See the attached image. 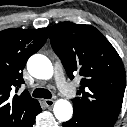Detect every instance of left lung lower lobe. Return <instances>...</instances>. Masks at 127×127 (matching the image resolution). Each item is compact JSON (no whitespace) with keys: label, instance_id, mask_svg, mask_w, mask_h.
Here are the masks:
<instances>
[{"label":"left lung lower lobe","instance_id":"0a47b994","mask_svg":"<svg viewBox=\"0 0 127 127\" xmlns=\"http://www.w3.org/2000/svg\"><path fill=\"white\" fill-rule=\"evenodd\" d=\"M113 125L96 121L83 113L74 110L73 118L63 123V127H112Z\"/></svg>","mask_w":127,"mask_h":127}]
</instances>
